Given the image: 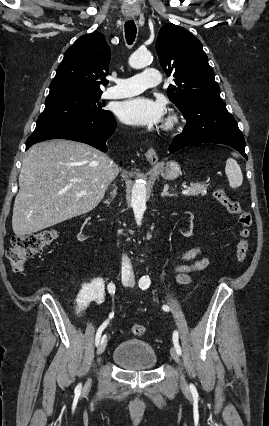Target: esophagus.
<instances>
[{
  "instance_id": "obj_1",
  "label": "esophagus",
  "mask_w": 269,
  "mask_h": 426,
  "mask_svg": "<svg viewBox=\"0 0 269 426\" xmlns=\"http://www.w3.org/2000/svg\"><path fill=\"white\" fill-rule=\"evenodd\" d=\"M145 156L150 164L155 165L158 163V155L153 148H149L145 153Z\"/></svg>"
}]
</instances>
